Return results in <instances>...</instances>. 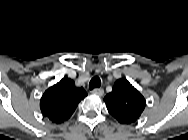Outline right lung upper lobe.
Segmentation results:
<instances>
[{"instance_id": "1", "label": "right lung upper lobe", "mask_w": 188, "mask_h": 140, "mask_svg": "<svg viewBox=\"0 0 188 140\" xmlns=\"http://www.w3.org/2000/svg\"><path fill=\"white\" fill-rule=\"evenodd\" d=\"M86 96L82 87H76L73 80L64 77L45 91L40 100V108L45 117L59 124L70 118L78 103Z\"/></svg>"}]
</instances>
